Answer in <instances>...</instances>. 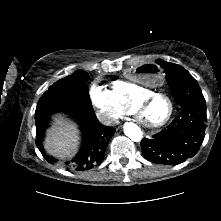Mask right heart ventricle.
<instances>
[{"label": "right heart ventricle", "mask_w": 221, "mask_h": 221, "mask_svg": "<svg viewBox=\"0 0 221 221\" xmlns=\"http://www.w3.org/2000/svg\"><path fill=\"white\" fill-rule=\"evenodd\" d=\"M111 93L127 111H131L138 101L153 91L133 81L116 80L111 85Z\"/></svg>", "instance_id": "1"}]
</instances>
